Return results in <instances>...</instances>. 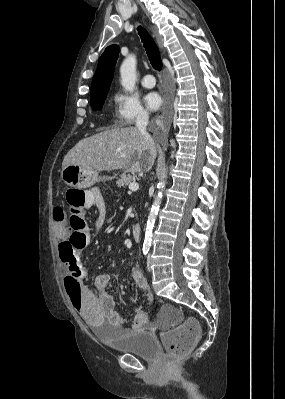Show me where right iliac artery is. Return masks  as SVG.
<instances>
[{
    "label": "right iliac artery",
    "mask_w": 285,
    "mask_h": 399,
    "mask_svg": "<svg viewBox=\"0 0 285 399\" xmlns=\"http://www.w3.org/2000/svg\"><path fill=\"white\" fill-rule=\"evenodd\" d=\"M148 252H149V248L144 247V248H143V254H144V255H147Z\"/></svg>",
    "instance_id": "right-iliac-artery-1"
}]
</instances>
